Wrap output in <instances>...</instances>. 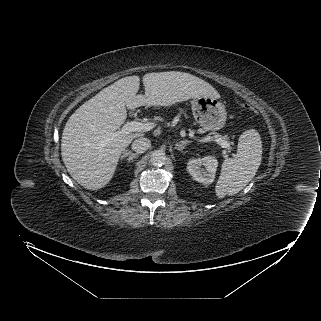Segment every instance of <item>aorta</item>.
<instances>
[{"instance_id":"obj_1","label":"aorta","mask_w":321,"mask_h":321,"mask_svg":"<svg viewBox=\"0 0 321 321\" xmlns=\"http://www.w3.org/2000/svg\"><path fill=\"white\" fill-rule=\"evenodd\" d=\"M166 155L161 150H155L151 154L150 162L154 166H162L166 162Z\"/></svg>"}]
</instances>
